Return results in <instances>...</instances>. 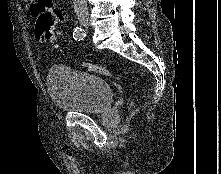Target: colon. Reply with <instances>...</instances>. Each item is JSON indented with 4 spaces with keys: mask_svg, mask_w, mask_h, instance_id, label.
Segmentation results:
<instances>
[{
    "mask_svg": "<svg viewBox=\"0 0 221 174\" xmlns=\"http://www.w3.org/2000/svg\"><path fill=\"white\" fill-rule=\"evenodd\" d=\"M35 33L36 36L41 40L56 42L58 39V33L54 28V19L49 14L41 15L35 24ZM82 67L90 72H95L105 76H112L113 74L105 67L90 64V63H83Z\"/></svg>",
    "mask_w": 221,
    "mask_h": 174,
    "instance_id": "5ec220e1",
    "label": "colon"
}]
</instances>
